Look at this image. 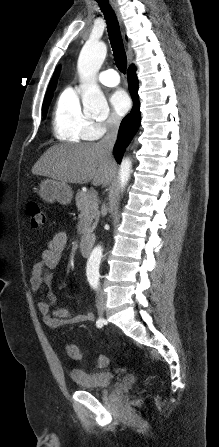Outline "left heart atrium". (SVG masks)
I'll return each mask as SVG.
<instances>
[{
  "mask_svg": "<svg viewBox=\"0 0 219 447\" xmlns=\"http://www.w3.org/2000/svg\"><path fill=\"white\" fill-rule=\"evenodd\" d=\"M109 102L114 112L120 116L126 114L131 107L130 97L122 89L115 90L110 95Z\"/></svg>",
  "mask_w": 219,
  "mask_h": 447,
  "instance_id": "left-heart-atrium-1",
  "label": "left heart atrium"
}]
</instances>
